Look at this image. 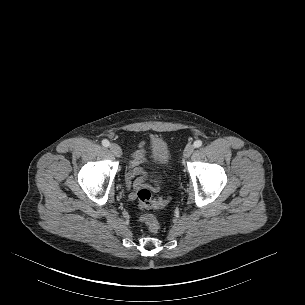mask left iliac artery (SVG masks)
Wrapping results in <instances>:
<instances>
[{
  "label": "left iliac artery",
  "instance_id": "obj_1",
  "mask_svg": "<svg viewBox=\"0 0 305 305\" xmlns=\"http://www.w3.org/2000/svg\"><path fill=\"white\" fill-rule=\"evenodd\" d=\"M202 146V141L201 140H196L195 142H194V147L195 148H199V147H201Z\"/></svg>",
  "mask_w": 305,
  "mask_h": 305
}]
</instances>
